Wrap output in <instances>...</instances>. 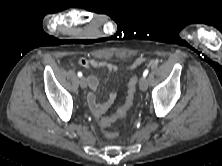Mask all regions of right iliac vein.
Here are the masks:
<instances>
[{
  "mask_svg": "<svg viewBox=\"0 0 222 166\" xmlns=\"http://www.w3.org/2000/svg\"><path fill=\"white\" fill-rule=\"evenodd\" d=\"M79 84L82 89H85L87 87V79L85 77H81Z\"/></svg>",
  "mask_w": 222,
  "mask_h": 166,
  "instance_id": "right-iliac-vein-1",
  "label": "right iliac vein"
}]
</instances>
